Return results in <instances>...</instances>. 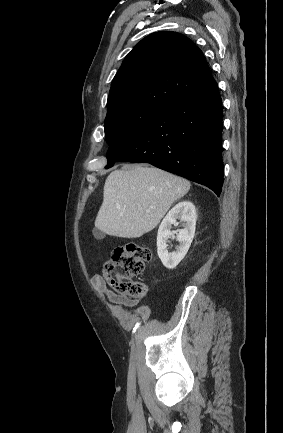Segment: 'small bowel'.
I'll list each match as a JSON object with an SVG mask.
<instances>
[{
  "instance_id": "small-bowel-1",
  "label": "small bowel",
  "mask_w": 283,
  "mask_h": 433,
  "mask_svg": "<svg viewBox=\"0 0 283 433\" xmlns=\"http://www.w3.org/2000/svg\"><path fill=\"white\" fill-rule=\"evenodd\" d=\"M92 284L102 299L107 300L114 305L119 319L125 325H133L135 323L138 315L128 312L127 309L136 307L140 300L112 293L107 289L106 282L101 275H94L92 277ZM140 316L141 318H145L144 314H141Z\"/></svg>"
}]
</instances>
